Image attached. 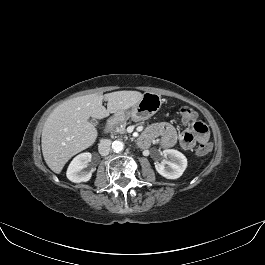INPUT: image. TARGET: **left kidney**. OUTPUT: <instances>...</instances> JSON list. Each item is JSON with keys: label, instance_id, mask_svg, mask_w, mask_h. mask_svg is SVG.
<instances>
[{"label": "left kidney", "instance_id": "obj_1", "mask_svg": "<svg viewBox=\"0 0 265 265\" xmlns=\"http://www.w3.org/2000/svg\"><path fill=\"white\" fill-rule=\"evenodd\" d=\"M163 159L155 164L156 171L167 179L179 178L187 167V158L181 152L174 149L163 151Z\"/></svg>", "mask_w": 265, "mask_h": 265}]
</instances>
